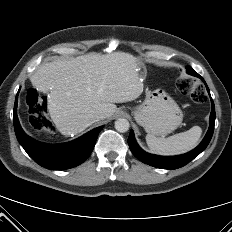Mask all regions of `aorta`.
<instances>
[{
  "label": "aorta",
  "instance_id": "obj_1",
  "mask_svg": "<svg viewBox=\"0 0 232 232\" xmlns=\"http://www.w3.org/2000/svg\"><path fill=\"white\" fill-rule=\"evenodd\" d=\"M130 124L127 119L119 118L115 121V129L118 132L124 133L129 130Z\"/></svg>",
  "mask_w": 232,
  "mask_h": 232
}]
</instances>
